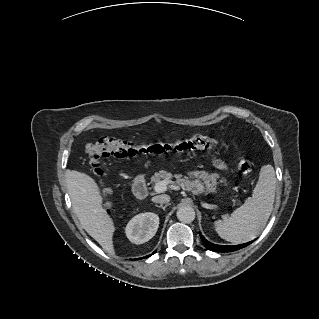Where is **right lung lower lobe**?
<instances>
[{"label": "right lung lower lobe", "instance_id": "98d812e1", "mask_svg": "<svg viewBox=\"0 0 319 319\" xmlns=\"http://www.w3.org/2000/svg\"><path fill=\"white\" fill-rule=\"evenodd\" d=\"M156 251H154L152 254H154ZM151 256V254L150 255H148V256H146V258H148V257H150ZM144 258V257H143ZM140 259V258H139Z\"/></svg>", "mask_w": 319, "mask_h": 319}]
</instances>
